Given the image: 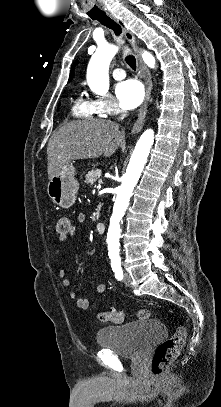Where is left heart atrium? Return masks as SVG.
I'll return each mask as SVG.
<instances>
[{"label": "left heart atrium", "instance_id": "39dd6f15", "mask_svg": "<svg viewBox=\"0 0 221 407\" xmlns=\"http://www.w3.org/2000/svg\"><path fill=\"white\" fill-rule=\"evenodd\" d=\"M115 93L126 109H134L144 98V86L136 79H127L116 86Z\"/></svg>", "mask_w": 221, "mask_h": 407}]
</instances>
